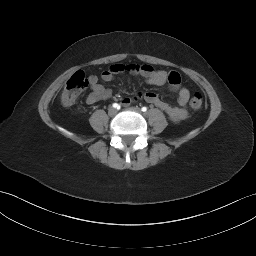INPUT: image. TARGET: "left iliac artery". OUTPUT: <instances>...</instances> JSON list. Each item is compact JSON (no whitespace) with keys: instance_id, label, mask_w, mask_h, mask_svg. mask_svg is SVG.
I'll use <instances>...</instances> for the list:
<instances>
[{"instance_id":"1","label":"left iliac artery","mask_w":256,"mask_h":256,"mask_svg":"<svg viewBox=\"0 0 256 256\" xmlns=\"http://www.w3.org/2000/svg\"><path fill=\"white\" fill-rule=\"evenodd\" d=\"M141 110H142L143 112H146V111H147V107H142Z\"/></svg>"}]
</instances>
